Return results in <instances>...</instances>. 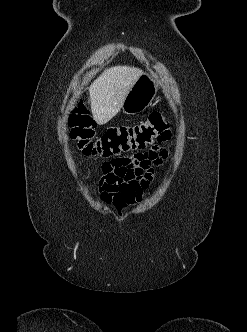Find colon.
I'll return each mask as SVG.
<instances>
[{
	"label": "colon",
	"mask_w": 247,
	"mask_h": 332,
	"mask_svg": "<svg viewBox=\"0 0 247 332\" xmlns=\"http://www.w3.org/2000/svg\"><path fill=\"white\" fill-rule=\"evenodd\" d=\"M70 135L77 148L87 156L110 158L122 152L146 149L156 143L166 141L169 125L160 111L150 113L145 121L133 126L109 129L101 136H95V121L83 103H78L71 111Z\"/></svg>",
	"instance_id": "5ec220e1"
}]
</instances>
